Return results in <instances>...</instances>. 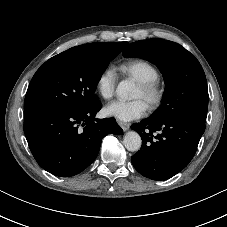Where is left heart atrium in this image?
Masks as SVG:
<instances>
[{
	"instance_id": "left-heart-atrium-1",
	"label": "left heart atrium",
	"mask_w": 227,
	"mask_h": 227,
	"mask_svg": "<svg viewBox=\"0 0 227 227\" xmlns=\"http://www.w3.org/2000/svg\"><path fill=\"white\" fill-rule=\"evenodd\" d=\"M147 111L146 103L141 99L133 101H114L108 104L104 112L109 117H114L119 121L128 122L142 117Z\"/></svg>"
}]
</instances>
